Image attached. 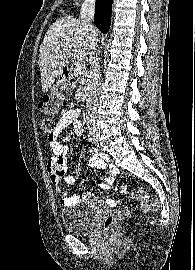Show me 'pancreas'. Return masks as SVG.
Masks as SVG:
<instances>
[{"instance_id": "obj_1", "label": "pancreas", "mask_w": 195, "mask_h": 270, "mask_svg": "<svg viewBox=\"0 0 195 270\" xmlns=\"http://www.w3.org/2000/svg\"><path fill=\"white\" fill-rule=\"evenodd\" d=\"M72 70H73V75L77 77L80 84L88 83L89 72H88L85 62H82L79 59H74Z\"/></svg>"}]
</instances>
